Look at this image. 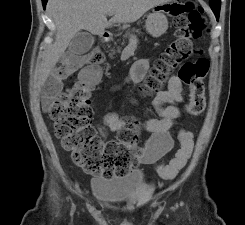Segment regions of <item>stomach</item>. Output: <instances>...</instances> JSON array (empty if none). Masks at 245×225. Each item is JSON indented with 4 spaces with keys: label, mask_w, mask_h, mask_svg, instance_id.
Instances as JSON below:
<instances>
[{
    "label": "stomach",
    "mask_w": 245,
    "mask_h": 225,
    "mask_svg": "<svg viewBox=\"0 0 245 225\" xmlns=\"http://www.w3.org/2000/svg\"><path fill=\"white\" fill-rule=\"evenodd\" d=\"M165 9V4L158 5L147 16L145 28L147 33L154 38L162 36L168 29V19Z\"/></svg>",
    "instance_id": "0dacf381"
}]
</instances>
